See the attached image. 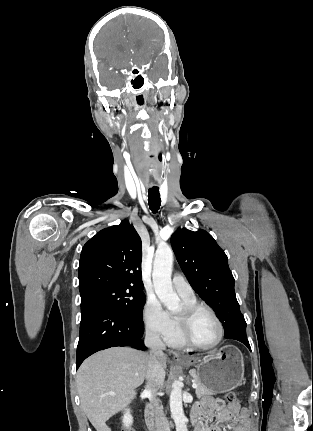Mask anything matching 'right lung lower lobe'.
<instances>
[{
  "instance_id": "98d812e1",
  "label": "right lung lower lobe",
  "mask_w": 313,
  "mask_h": 431,
  "mask_svg": "<svg viewBox=\"0 0 313 431\" xmlns=\"http://www.w3.org/2000/svg\"><path fill=\"white\" fill-rule=\"evenodd\" d=\"M144 323L112 307L96 305L82 312L76 369L93 353L116 346L145 349Z\"/></svg>"
}]
</instances>
